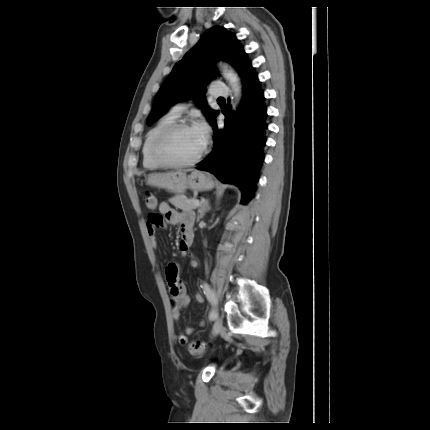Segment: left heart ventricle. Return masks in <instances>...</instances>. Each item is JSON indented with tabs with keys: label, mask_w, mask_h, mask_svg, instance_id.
Here are the masks:
<instances>
[{
	"label": "left heart ventricle",
	"mask_w": 430,
	"mask_h": 430,
	"mask_svg": "<svg viewBox=\"0 0 430 430\" xmlns=\"http://www.w3.org/2000/svg\"><path fill=\"white\" fill-rule=\"evenodd\" d=\"M203 147L192 127L177 131L164 145L163 151L171 159L184 161L197 156Z\"/></svg>",
	"instance_id": "1"
}]
</instances>
